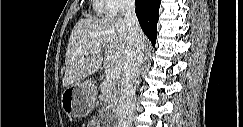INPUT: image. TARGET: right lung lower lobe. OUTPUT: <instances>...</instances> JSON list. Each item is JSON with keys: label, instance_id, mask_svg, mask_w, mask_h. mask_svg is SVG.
I'll list each match as a JSON object with an SVG mask.
<instances>
[{"label": "right lung lower lobe", "instance_id": "right-lung-lower-lobe-1", "mask_svg": "<svg viewBox=\"0 0 243 127\" xmlns=\"http://www.w3.org/2000/svg\"><path fill=\"white\" fill-rule=\"evenodd\" d=\"M160 0H136V15L143 32L155 46Z\"/></svg>", "mask_w": 243, "mask_h": 127}]
</instances>
